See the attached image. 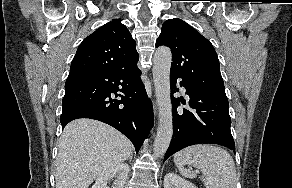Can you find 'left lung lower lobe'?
Returning a JSON list of instances; mask_svg holds the SVG:
<instances>
[{
  "label": "left lung lower lobe",
  "mask_w": 292,
  "mask_h": 188,
  "mask_svg": "<svg viewBox=\"0 0 292 188\" xmlns=\"http://www.w3.org/2000/svg\"><path fill=\"white\" fill-rule=\"evenodd\" d=\"M176 75H170L171 94L176 88ZM180 85L186 88L190 110H177L179 98H171L173 108V136L164 161L177 151L194 144H220L235 151L231 135V119L226 94L199 88L184 80ZM185 104V100L181 99Z\"/></svg>",
  "instance_id": "obj_1"
}]
</instances>
